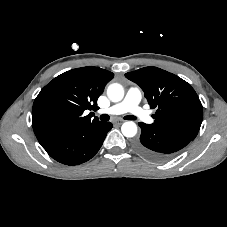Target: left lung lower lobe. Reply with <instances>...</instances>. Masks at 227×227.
Wrapping results in <instances>:
<instances>
[{"instance_id": "obj_1", "label": "left lung lower lobe", "mask_w": 227, "mask_h": 227, "mask_svg": "<svg viewBox=\"0 0 227 227\" xmlns=\"http://www.w3.org/2000/svg\"><path fill=\"white\" fill-rule=\"evenodd\" d=\"M141 136L134 143L135 150L146 159L163 162L184 148L190 137L164 128L153 127L140 122Z\"/></svg>"}]
</instances>
